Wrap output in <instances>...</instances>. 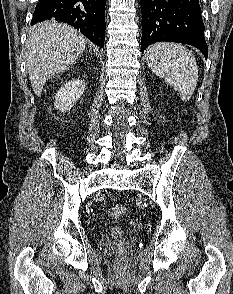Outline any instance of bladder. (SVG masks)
<instances>
[{
  "mask_svg": "<svg viewBox=\"0 0 233 294\" xmlns=\"http://www.w3.org/2000/svg\"><path fill=\"white\" fill-rule=\"evenodd\" d=\"M112 234L115 235V236L122 235V234H123V230L120 229V228H115V229L112 231Z\"/></svg>",
  "mask_w": 233,
  "mask_h": 294,
  "instance_id": "obj_1",
  "label": "bladder"
}]
</instances>
